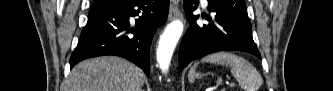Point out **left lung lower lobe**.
Instances as JSON below:
<instances>
[{"label":"left lung lower lobe","instance_id":"left-lung-lower-lobe-1","mask_svg":"<svg viewBox=\"0 0 333 91\" xmlns=\"http://www.w3.org/2000/svg\"><path fill=\"white\" fill-rule=\"evenodd\" d=\"M198 3L195 0H184L189 28L179 49L181 68L216 51H243L261 59L253 41L244 0H208V10L214 13V18L212 21L206 16L211 23L203 26L195 22L198 16H192Z\"/></svg>","mask_w":333,"mask_h":91}]
</instances>
